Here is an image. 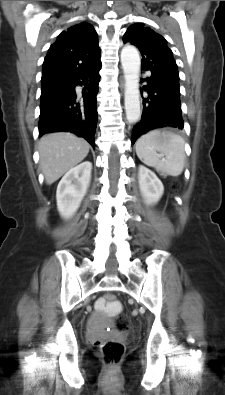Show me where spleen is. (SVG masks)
<instances>
[{
  "label": "spleen",
  "instance_id": "obj_1",
  "mask_svg": "<svg viewBox=\"0 0 225 395\" xmlns=\"http://www.w3.org/2000/svg\"><path fill=\"white\" fill-rule=\"evenodd\" d=\"M185 141L170 131L154 130L141 136L136 142V154L147 166L170 176H179L185 165ZM165 156L159 159V154Z\"/></svg>",
  "mask_w": 225,
  "mask_h": 395
}]
</instances>
